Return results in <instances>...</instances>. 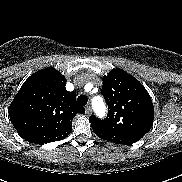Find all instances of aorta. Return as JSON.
Here are the masks:
<instances>
[{"label":"aorta","instance_id":"1","mask_svg":"<svg viewBox=\"0 0 182 182\" xmlns=\"http://www.w3.org/2000/svg\"><path fill=\"white\" fill-rule=\"evenodd\" d=\"M95 108L99 115H101V116L105 115L106 108H105L103 102H100L99 104H97Z\"/></svg>","mask_w":182,"mask_h":182}]
</instances>
